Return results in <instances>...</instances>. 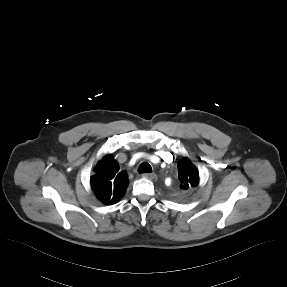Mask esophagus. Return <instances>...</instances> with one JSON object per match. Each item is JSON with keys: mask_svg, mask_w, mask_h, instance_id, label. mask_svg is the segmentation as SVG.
<instances>
[{"mask_svg": "<svg viewBox=\"0 0 287 287\" xmlns=\"http://www.w3.org/2000/svg\"><path fill=\"white\" fill-rule=\"evenodd\" d=\"M143 176H144L145 178L150 179V180H153V179H156V178H157V175H156L155 173H145V174H143Z\"/></svg>", "mask_w": 287, "mask_h": 287, "instance_id": "esophagus-1", "label": "esophagus"}]
</instances>
